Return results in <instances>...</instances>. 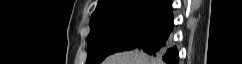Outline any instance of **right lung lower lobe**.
Returning a JSON list of instances; mask_svg holds the SVG:
<instances>
[{"mask_svg":"<svg viewBox=\"0 0 242 64\" xmlns=\"http://www.w3.org/2000/svg\"><path fill=\"white\" fill-rule=\"evenodd\" d=\"M164 15L165 19L136 48L162 59L166 64H178L179 55L177 47L173 46L171 38L174 26L172 10Z\"/></svg>","mask_w":242,"mask_h":64,"instance_id":"1","label":"right lung lower lobe"}]
</instances>
